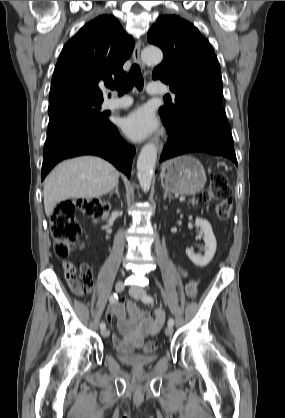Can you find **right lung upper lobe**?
<instances>
[{"label":"right lung upper lobe","mask_w":285,"mask_h":418,"mask_svg":"<svg viewBox=\"0 0 285 418\" xmlns=\"http://www.w3.org/2000/svg\"><path fill=\"white\" fill-rule=\"evenodd\" d=\"M134 40L118 20L101 15L84 25L63 47L49 93V106L69 101L103 102L99 84L122 80L123 63Z\"/></svg>","instance_id":"cb5924a9"}]
</instances>
